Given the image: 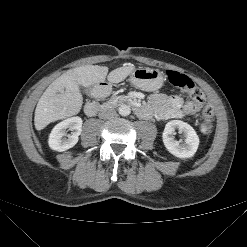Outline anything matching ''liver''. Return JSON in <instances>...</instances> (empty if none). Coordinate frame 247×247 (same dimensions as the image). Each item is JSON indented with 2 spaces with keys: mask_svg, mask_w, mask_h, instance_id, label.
Returning <instances> with one entry per match:
<instances>
[{
  "mask_svg": "<svg viewBox=\"0 0 247 247\" xmlns=\"http://www.w3.org/2000/svg\"><path fill=\"white\" fill-rule=\"evenodd\" d=\"M134 66H123L108 74V67L86 65L68 70L57 78L40 97L34 117L36 130L44 129L51 122L79 113L83 97L79 86L89 87L104 82L120 83L133 71ZM108 74V76H107Z\"/></svg>",
  "mask_w": 247,
  "mask_h": 247,
  "instance_id": "1",
  "label": "liver"
}]
</instances>
